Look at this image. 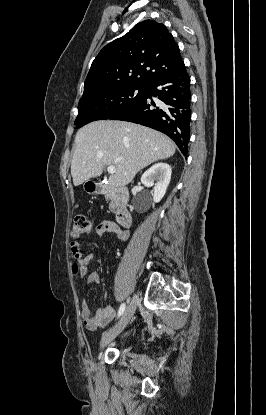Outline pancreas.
Listing matches in <instances>:
<instances>
[{
    "label": "pancreas",
    "mask_w": 266,
    "mask_h": 415,
    "mask_svg": "<svg viewBox=\"0 0 266 415\" xmlns=\"http://www.w3.org/2000/svg\"><path fill=\"white\" fill-rule=\"evenodd\" d=\"M106 199H107V200H111V202L109 203V208H110V210H111V211H113V210L115 209V205H114V203H113V201H112V196L107 195V196H106Z\"/></svg>",
    "instance_id": "1"
}]
</instances>
